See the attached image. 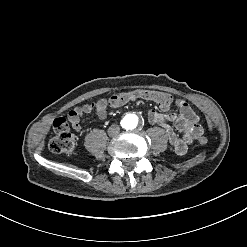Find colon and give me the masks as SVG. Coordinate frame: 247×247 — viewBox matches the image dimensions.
Returning <instances> with one entry per match:
<instances>
[{"label": "colon", "instance_id": "obj_1", "mask_svg": "<svg viewBox=\"0 0 247 247\" xmlns=\"http://www.w3.org/2000/svg\"><path fill=\"white\" fill-rule=\"evenodd\" d=\"M136 96H145L147 101H158L157 107L159 109L168 107L169 94L168 92H161L160 88H136L134 92H114L113 100L110 101L109 106L111 109H120L127 101H134ZM198 140L201 141L202 146H207L205 136ZM48 146L51 152L57 154L74 152L77 142L70 132V123L66 119L59 118L53 123Z\"/></svg>", "mask_w": 247, "mask_h": 247}]
</instances>
